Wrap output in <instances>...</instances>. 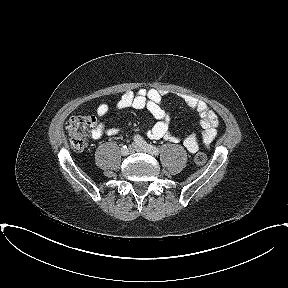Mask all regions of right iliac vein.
<instances>
[{"instance_id":"63e3f726","label":"right iliac vein","mask_w":288,"mask_h":288,"mask_svg":"<svg viewBox=\"0 0 288 288\" xmlns=\"http://www.w3.org/2000/svg\"><path fill=\"white\" fill-rule=\"evenodd\" d=\"M128 149H129V154H132L133 152H134V147L132 146V145H130L129 147H128ZM128 154V155H129Z\"/></svg>"}]
</instances>
